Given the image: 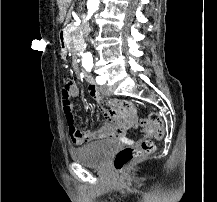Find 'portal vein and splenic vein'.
I'll return each instance as SVG.
<instances>
[{
  "label": "portal vein and splenic vein",
  "mask_w": 217,
  "mask_h": 202,
  "mask_svg": "<svg viewBox=\"0 0 217 202\" xmlns=\"http://www.w3.org/2000/svg\"><path fill=\"white\" fill-rule=\"evenodd\" d=\"M74 26H80V24H77V22H75Z\"/></svg>",
  "instance_id": "1"
}]
</instances>
